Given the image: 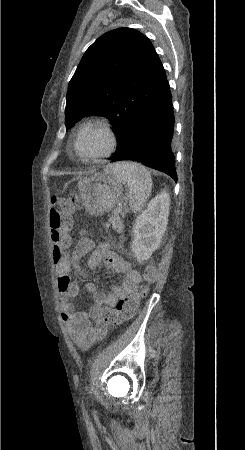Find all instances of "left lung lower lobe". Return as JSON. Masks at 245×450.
<instances>
[{"mask_svg": "<svg viewBox=\"0 0 245 450\" xmlns=\"http://www.w3.org/2000/svg\"><path fill=\"white\" fill-rule=\"evenodd\" d=\"M172 94L167 77L142 109L132 133L120 151L109 160H134L162 171L177 181L172 149L174 135Z\"/></svg>", "mask_w": 245, "mask_h": 450, "instance_id": "1", "label": "left lung lower lobe"}]
</instances>
